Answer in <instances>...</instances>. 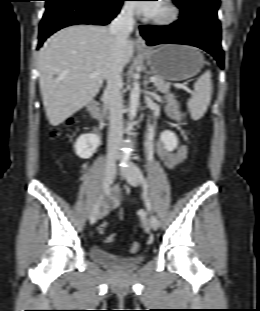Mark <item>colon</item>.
<instances>
[{
  "mask_svg": "<svg viewBox=\"0 0 260 311\" xmlns=\"http://www.w3.org/2000/svg\"><path fill=\"white\" fill-rule=\"evenodd\" d=\"M71 124H74V121L70 122ZM50 134L52 137H56L59 134V131L57 129H52L50 131ZM109 224L108 222H103L99 227V232L103 233L107 230ZM116 240V234L112 233L106 236L105 242L106 243H113ZM140 245L138 242H132L129 245V252L130 253H137L139 251Z\"/></svg>",
  "mask_w": 260,
  "mask_h": 311,
  "instance_id": "obj_1",
  "label": "colon"
}]
</instances>
